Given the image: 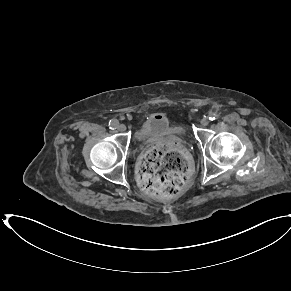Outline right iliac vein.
<instances>
[{"label":"right iliac vein","mask_w":291,"mask_h":291,"mask_svg":"<svg viewBox=\"0 0 291 291\" xmlns=\"http://www.w3.org/2000/svg\"><path fill=\"white\" fill-rule=\"evenodd\" d=\"M117 129L120 131V132H124L126 130V126L124 124H120L118 125Z\"/></svg>","instance_id":"right-iliac-vein-1"}]
</instances>
